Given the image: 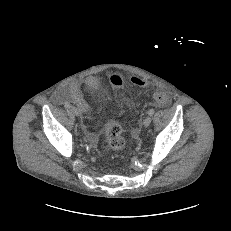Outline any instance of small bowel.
I'll use <instances>...</instances> for the list:
<instances>
[{
    "label": "small bowel",
    "instance_id": "1",
    "mask_svg": "<svg viewBox=\"0 0 231 231\" xmlns=\"http://www.w3.org/2000/svg\"><path fill=\"white\" fill-rule=\"evenodd\" d=\"M85 85L90 90H96L100 86V81L96 77H89L85 81ZM60 95L65 100L72 101L75 103L79 109L83 112V127L87 132V139L92 146H96L98 143V136L96 133L91 132L90 123L92 121V107L91 105L85 100L82 92H81V83L78 81L71 82L69 85L63 87L60 90Z\"/></svg>",
    "mask_w": 231,
    "mask_h": 231
}]
</instances>
